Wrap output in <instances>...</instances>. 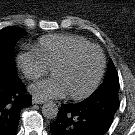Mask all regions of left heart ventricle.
I'll return each instance as SVG.
<instances>
[{"label": "left heart ventricle", "mask_w": 135, "mask_h": 135, "mask_svg": "<svg viewBox=\"0 0 135 135\" xmlns=\"http://www.w3.org/2000/svg\"><path fill=\"white\" fill-rule=\"evenodd\" d=\"M100 66V56L95 50L78 54L69 64L53 71L65 85L68 93L80 94L94 81Z\"/></svg>", "instance_id": "left-heart-ventricle-1"}]
</instances>
